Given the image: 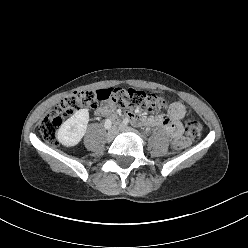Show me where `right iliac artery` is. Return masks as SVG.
<instances>
[{"label":"right iliac artery","instance_id":"right-iliac-artery-1","mask_svg":"<svg viewBox=\"0 0 248 248\" xmlns=\"http://www.w3.org/2000/svg\"><path fill=\"white\" fill-rule=\"evenodd\" d=\"M111 126H112V121H111L110 119H107V120L105 121V123H104V127H105L106 129H110Z\"/></svg>","mask_w":248,"mask_h":248}]
</instances>
